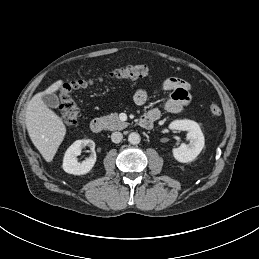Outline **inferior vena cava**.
<instances>
[{
  "mask_svg": "<svg viewBox=\"0 0 259 259\" xmlns=\"http://www.w3.org/2000/svg\"><path fill=\"white\" fill-rule=\"evenodd\" d=\"M122 138H123V135L121 132H113L111 134V140L114 143H119L122 140Z\"/></svg>",
  "mask_w": 259,
  "mask_h": 259,
  "instance_id": "obj_1",
  "label": "inferior vena cava"
}]
</instances>
